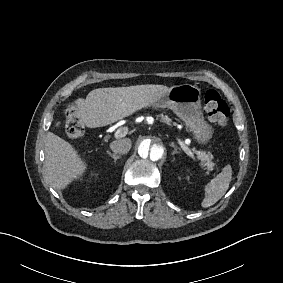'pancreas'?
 I'll return each mask as SVG.
<instances>
[{
    "instance_id": "pancreas-1",
    "label": "pancreas",
    "mask_w": 283,
    "mask_h": 283,
    "mask_svg": "<svg viewBox=\"0 0 283 283\" xmlns=\"http://www.w3.org/2000/svg\"><path fill=\"white\" fill-rule=\"evenodd\" d=\"M157 119H159L160 122L166 123L167 125H177L176 122H172V119L164 114L157 115ZM197 158L200 160L199 165L207 170L206 174H209V172L212 171L215 166V163L212 161L213 155L210 152L206 153L205 151H201L197 155Z\"/></svg>"
}]
</instances>
